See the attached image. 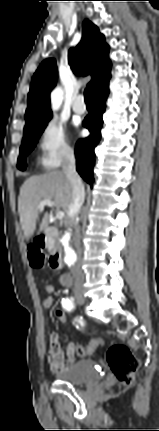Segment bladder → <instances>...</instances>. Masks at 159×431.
Here are the masks:
<instances>
[{
  "mask_svg": "<svg viewBox=\"0 0 159 431\" xmlns=\"http://www.w3.org/2000/svg\"><path fill=\"white\" fill-rule=\"evenodd\" d=\"M54 374L57 380L72 385L85 384L99 380L102 377L99 367L90 359L77 361L68 368Z\"/></svg>",
  "mask_w": 159,
  "mask_h": 431,
  "instance_id": "1",
  "label": "bladder"
}]
</instances>
